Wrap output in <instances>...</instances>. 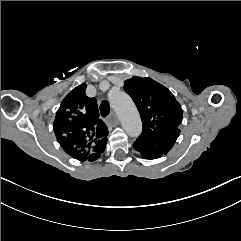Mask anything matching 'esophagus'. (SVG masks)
Masks as SVG:
<instances>
[{
	"mask_svg": "<svg viewBox=\"0 0 241 241\" xmlns=\"http://www.w3.org/2000/svg\"><path fill=\"white\" fill-rule=\"evenodd\" d=\"M112 126L118 123V118L114 112L111 113L110 118Z\"/></svg>",
	"mask_w": 241,
	"mask_h": 241,
	"instance_id": "34e87169",
	"label": "esophagus"
}]
</instances>
